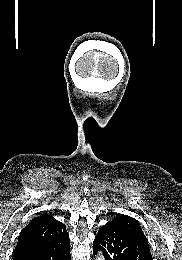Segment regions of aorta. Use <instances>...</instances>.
Returning a JSON list of instances; mask_svg holds the SVG:
<instances>
[{"mask_svg":"<svg viewBox=\"0 0 182 260\" xmlns=\"http://www.w3.org/2000/svg\"><path fill=\"white\" fill-rule=\"evenodd\" d=\"M97 260H103L102 255H98V256H97Z\"/></svg>","mask_w":182,"mask_h":260,"instance_id":"1","label":"aorta"}]
</instances>
